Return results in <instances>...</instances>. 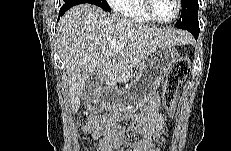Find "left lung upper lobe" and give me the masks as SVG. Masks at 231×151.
<instances>
[{
	"instance_id": "obj_1",
	"label": "left lung upper lobe",
	"mask_w": 231,
	"mask_h": 151,
	"mask_svg": "<svg viewBox=\"0 0 231 151\" xmlns=\"http://www.w3.org/2000/svg\"><path fill=\"white\" fill-rule=\"evenodd\" d=\"M198 8V0H182L181 17L175 26L188 31L199 29Z\"/></svg>"
}]
</instances>
